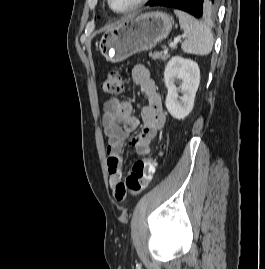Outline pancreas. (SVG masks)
Returning <instances> with one entry per match:
<instances>
[{
	"mask_svg": "<svg viewBox=\"0 0 265 269\" xmlns=\"http://www.w3.org/2000/svg\"><path fill=\"white\" fill-rule=\"evenodd\" d=\"M149 56L153 59V60H162V61H166L169 57H170V54L168 53H162L160 51H156V52H151L149 54Z\"/></svg>",
	"mask_w": 265,
	"mask_h": 269,
	"instance_id": "cf45deb5",
	"label": "pancreas"
}]
</instances>
